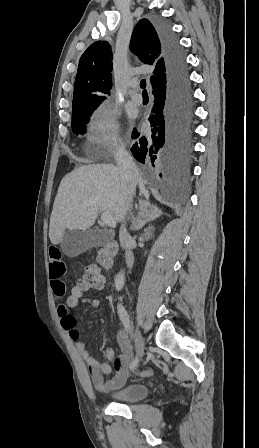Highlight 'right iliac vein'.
Masks as SVG:
<instances>
[{"label": "right iliac vein", "instance_id": "obj_1", "mask_svg": "<svg viewBox=\"0 0 259 448\" xmlns=\"http://www.w3.org/2000/svg\"><path fill=\"white\" fill-rule=\"evenodd\" d=\"M134 338L137 355L141 358L144 355V340L138 328L135 329Z\"/></svg>", "mask_w": 259, "mask_h": 448}]
</instances>
